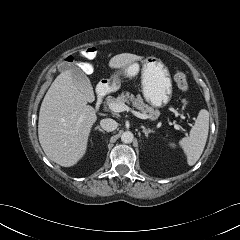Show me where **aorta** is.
I'll use <instances>...</instances> for the list:
<instances>
[{
    "label": "aorta",
    "instance_id": "obj_1",
    "mask_svg": "<svg viewBox=\"0 0 240 240\" xmlns=\"http://www.w3.org/2000/svg\"><path fill=\"white\" fill-rule=\"evenodd\" d=\"M134 135L132 132L130 131H125L122 135H121V141L123 143H131L133 141Z\"/></svg>",
    "mask_w": 240,
    "mask_h": 240
}]
</instances>
